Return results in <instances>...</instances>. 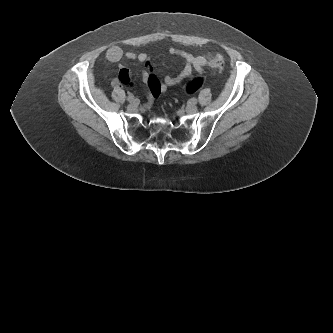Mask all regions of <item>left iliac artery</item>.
Instances as JSON below:
<instances>
[{
    "label": "left iliac artery",
    "mask_w": 333,
    "mask_h": 333,
    "mask_svg": "<svg viewBox=\"0 0 333 333\" xmlns=\"http://www.w3.org/2000/svg\"><path fill=\"white\" fill-rule=\"evenodd\" d=\"M190 101H191V103H193V104H196V103H197V99H196V98H192V99H190Z\"/></svg>",
    "instance_id": "1"
}]
</instances>
